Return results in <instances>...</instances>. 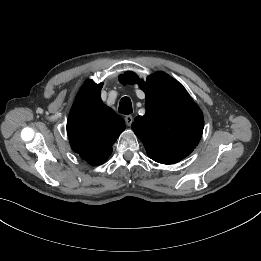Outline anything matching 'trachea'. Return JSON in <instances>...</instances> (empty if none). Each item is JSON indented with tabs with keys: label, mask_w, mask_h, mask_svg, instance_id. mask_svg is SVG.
I'll return each instance as SVG.
<instances>
[{
	"label": "trachea",
	"mask_w": 261,
	"mask_h": 261,
	"mask_svg": "<svg viewBox=\"0 0 261 261\" xmlns=\"http://www.w3.org/2000/svg\"><path fill=\"white\" fill-rule=\"evenodd\" d=\"M118 112L125 115L132 113V104L129 97H123L120 100Z\"/></svg>",
	"instance_id": "3493384b"
}]
</instances>
